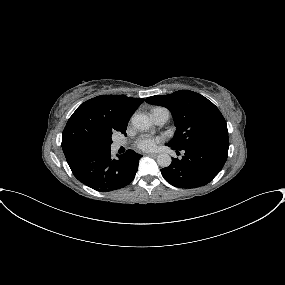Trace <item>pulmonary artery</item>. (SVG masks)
Instances as JSON below:
<instances>
[{"label":"pulmonary artery","mask_w":285,"mask_h":285,"mask_svg":"<svg viewBox=\"0 0 285 285\" xmlns=\"http://www.w3.org/2000/svg\"><path fill=\"white\" fill-rule=\"evenodd\" d=\"M151 118L153 122L158 126H163L166 124L170 118V113L168 110L161 108L155 109L151 112ZM122 145L121 142H116L115 146L120 147Z\"/></svg>","instance_id":"pulmonary-artery-1"}]
</instances>
